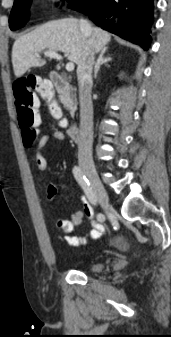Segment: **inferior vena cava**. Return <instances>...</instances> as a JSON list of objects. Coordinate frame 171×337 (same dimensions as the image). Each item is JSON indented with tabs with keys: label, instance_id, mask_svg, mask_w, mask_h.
I'll return each instance as SVG.
<instances>
[{
	"label": "inferior vena cava",
	"instance_id": "1",
	"mask_svg": "<svg viewBox=\"0 0 171 337\" xmlns=\"http://www.w3.org/2000/svg\"><path fill=\"white\" fill-rule=\"evenodd\" d=\"M82 32L91 33L93 28L86 20H80ZM88 40L81 61L77 67V78L79 84L80 101V139L78 143V160L80 163L92 164L93 143V105L91 99L92 90V68L94 64V51L91 50Z\"/></svg>",
	"mask_w": 171,
	"mask_h": 337
}]
</instances>
